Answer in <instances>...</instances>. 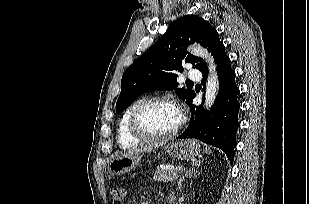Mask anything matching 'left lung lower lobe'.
Listing matches in <instances>:
<instances>
[{"label":"left lung lower lobe","instance_id":"1","mask_svg":"<svg viewBox=\"0 0 309 204\" xmlns=\"http://www.w3.org/2000/svg\"><path fill=\"white\" fill-rule=\"evenodd\" d=\"M215 62L219 75V92L215 104L210 111L204 110L202 106H195L192 104L194 93L188 103L191 111L190 124L177 138H196L218 147L232 163L236 147V131L239 127V89L235 83V72L231 68L230 58L225 53L224 45L218 52ZM207 72V68L202 71V83L206 81Z\"/></svg>","mask_w":309,"mask_h":204}]
</instances>
